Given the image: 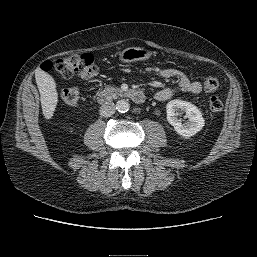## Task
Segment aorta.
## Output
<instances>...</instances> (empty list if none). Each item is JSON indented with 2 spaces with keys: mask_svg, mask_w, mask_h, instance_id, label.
Returning <instances> with one entry per match:
<instances>
[{
  "mask_svg": "<svg viewBox=\"0 0 257 257\" xmlns=\"http://www.w3.org/2000/svg\"><path fill=\"white\" fill-rule=\"evenodd\" d=\"M130 104L127 100L121 99L116 103V110L120 113H125L129 110Z\"/></svg>",
  "mask_w": 257,
  "mask_h": 257,
  "instance_id": "obj_1",
  "label": "aorta"
}]
</instances>
